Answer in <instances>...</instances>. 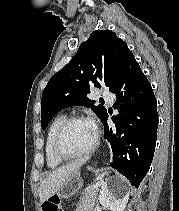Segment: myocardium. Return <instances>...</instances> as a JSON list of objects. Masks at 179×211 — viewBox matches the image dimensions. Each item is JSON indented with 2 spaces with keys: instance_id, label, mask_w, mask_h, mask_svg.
I'll use <instances>...</instances> for the list:
<instances>
[{
  "instance_id": "obj_1",
  "label": "myocardium",
  "mask_w": 179,
  "mask_h": 211,
  "mask_svg": "<svg viewBox=\"0 0 179 211\" xmlns=\"http://www.w3.org/2000/svg\"><path fill=\"white\" fill-rule=\"evenodd\" d=\"M80 121H89V119L83 115H74V116L66 118L57 129L54 140H53V152L58 159L62 161H71V160L81 159V158L91 155L97 149L99 145L98 132L96 133L95 140L93 144L91 145V147L85 150L84 152L77 153V154H69L64 151L62 143H63V139L67 130L72 124L76 122H80Z\"/></svg>"
}]
</instances>
